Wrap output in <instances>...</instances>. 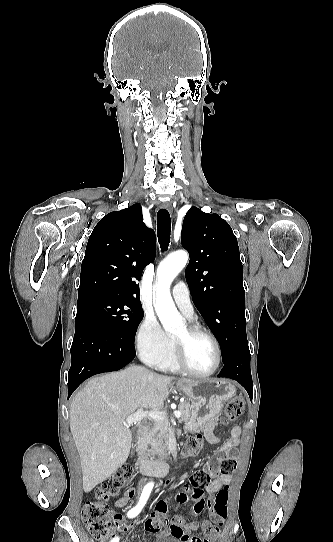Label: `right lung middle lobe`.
Masks as SVG:
<instances>
[{"mask_svg":"<svg viewBox=\"0 0 333 542\" xmlns=\"http://www.w3.org/2000/svg\"><path fill=\"white\" fill-rule=\"evenodd\" d=\"M88 315L105 324L126 347L135 349L134 338L144 312L140 304L112 301L93 296L77 304V315Z\"/></svg>","mask_w":333,"mask_h":542,"instance_id":"obj_1","label":"right lung middle lobe"}]
</instances>
